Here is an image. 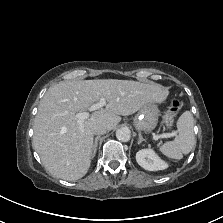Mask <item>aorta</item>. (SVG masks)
Listing matches in <instances>:
<instances>
[{"label":"aorta","instance_id":"obj_1","mask_svg":"<svg viewBox=\"0 0 223 223\" xmlns=\"http://www.w3.org/2000/svg\"><path fill=\"white\" fill-rule=\"evenodd\" d=\"M116 138L121 142H128L131 138V131L127 127H121L116 131Z\"/></svg>","mask_w":223,"mask_h":223}]
</instances>
